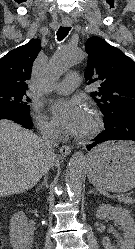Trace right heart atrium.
Instances as JSON below:
<instances>
[{"mask_svg": "<svg viewBox=\"0 0 135 249\" xmlns=\"http://www.w3.org/2000/svg\"><path fill=\"white\" fill-rule=\"evenodd\" d=\"M34 118L36 119L37 126L42 133L49 135L58 133L57 126L42 113L39 107L34 108Z\"/></svg>", "mask_w": 135, "mask_h": 249, "instance_id": "1", "label": "right heart atrium"}]
</instances>
